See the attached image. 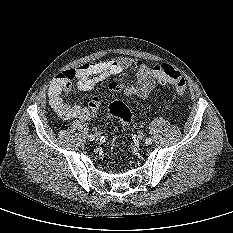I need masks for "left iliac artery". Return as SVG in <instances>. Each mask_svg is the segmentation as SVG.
<instances>
[{"instance_id": "1", "label": "left iliac artery", "mask_w": 233, "mask_h": 233, "mask_svg": "<svg viewBox=\"0 0 233 233\" xmlns=\"http://www.w3.org/2000/svg\"><path fill=\"white\" fill-rule=\"evenodd\" d=\"M146 144H151L152 143V139L151 138H146Z\"/></svg>"}]
</instances>
